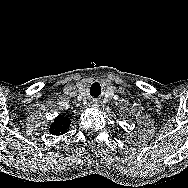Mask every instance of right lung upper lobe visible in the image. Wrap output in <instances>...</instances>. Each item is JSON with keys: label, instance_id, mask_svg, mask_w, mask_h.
I'll return each instance as SVG.
<instances>
[{"label": "right lung upper lobe", "instance_id": "obj_1", "mask_svg": "<svg viewBox=\"0 0 188 188\" xmlns=\"http://www.w3.org/2000/svg\"><path fill=\"white\" fill-rule=\"evenodd\" d=\"M71 120L63 115H58L51 124L49 132L52 135H62L69 129Z\"/></svg>", "mask_w": 188, "mask_h": 188}]
</instances>
